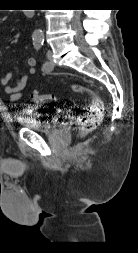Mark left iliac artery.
Segmentation results:
<instances>
[{
	"mask_svg": "<svg viewBox=\"0 0 138 253\" xmlns=\"http://www.w3.org/2000/svg\"><path fill=\"white\" fill-rule=\"evenodd\" d=\"M43 43H44V41H43L42 39H37V40H35V41H34V47H35V49H36V50L41 49V47L43 46ZM49 67H50L49 62H48V61H45V62L43 63V68H44L45 70H48Z\"/></svg>",
	"mask_w": 138,
	"mask_h": 253,
	"instance_id": "obj_1",
	"label": "left iliac artery"
}]
</instances>
